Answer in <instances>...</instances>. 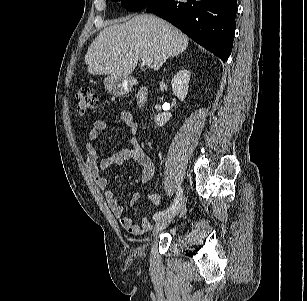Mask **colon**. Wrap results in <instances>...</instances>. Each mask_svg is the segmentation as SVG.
<instances>
[{
    "label": "colon",
    "mask_w": 307,
    "mask_h": 301,
    "mask_svg": "<svg viewBox=\"0 0 307 301\" xmlns=\"http://www.w3.org/2000/svg\"><path fill=\"white\" fill-rule=\"evenodd\" d=\"M77 111L81 114L94 112L99 105L98 96L89 89H82L76 93Z\"/></svg>",
    "instance_id": "5ec220e1"
}]
</instances>
